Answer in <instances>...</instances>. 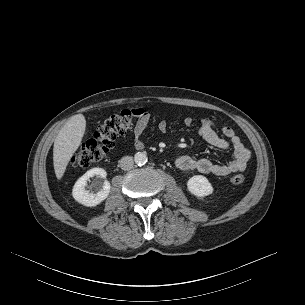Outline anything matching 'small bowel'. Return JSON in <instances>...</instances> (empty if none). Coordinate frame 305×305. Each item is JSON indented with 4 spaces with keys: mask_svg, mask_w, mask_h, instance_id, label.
<instances>
[{
    "mask_svg": "<svg viewBox=\"0 0 305 305\" xmlns=\"http://www.w3.org/2000/svg\"><path fill=\"white\" fill-rule=\"evenodd\" d=\"M137 121L133 128L135 145L141 147L143 142L141 136L148 124L150 114L144 108H135L132 110ZM184 125L190 127L194 123L192 117H186ZM158 130L165 133L168 129V122L162 118L158 122ZM199 136L211 146L220 150H232V159L227 164H219L208 159H194L190 156L181 155L174 159V165L181 171H198L203 174H212L215 176H228L234 173L242 172L246 169L247 163L251 157L250 150L241 142L231 127L222 128V136L215 131L214 123L209 118L200 120Z\"/></svg>",
    "mask_w": 305,
    "mask_h": 305,
    "instance_id": "obj_1",
    "label": "small bowel"
}]
</instances>
